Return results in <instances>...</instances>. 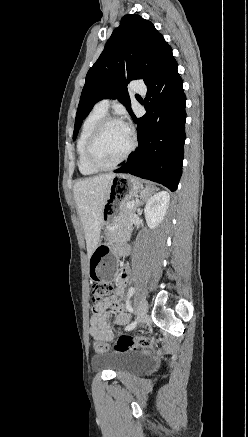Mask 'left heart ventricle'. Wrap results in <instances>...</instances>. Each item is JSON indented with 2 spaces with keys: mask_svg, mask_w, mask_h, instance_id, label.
<instances>
[{
  "mask_svg": "<svg viewBox=\"0 0 248 437\" xmlns=\"http://www.w3.org/2000/svg\"><path fill=\"white\" fill-rule=\"evenodd\" d=\"M130 134L120 123H110L102 131L95 145L94 155L96 160L109 165L115 162L128 148Z\"/></svg>",
  "mask_w": 248,
  "mask_h": 437,
  "instance_id": "1",
  "label": "left heart ventricle"
}]
</instances>
